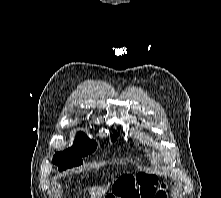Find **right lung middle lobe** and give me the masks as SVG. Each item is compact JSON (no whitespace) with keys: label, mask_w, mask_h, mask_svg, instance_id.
I'll return each mask as SVG.
<instances>
[{"label":"right lung middle lobe","mask_w":221,"mask_h":198,"mask_svg":"<svg viewBox=\"0 0 221 198\" xmlns=\"http://www.w3.org/2000/svg\"><path fill=\"white\" fill-rule=\"evenodd\" d=\"M117 135L112 136V140H116ZM97 144L89 138H77L73 147L64 152H57L53 157V163L59 167V171H63L83 163L81 157L91 154L95 151Z\"/></svg>","instance_id":"1"}]
</instances>
